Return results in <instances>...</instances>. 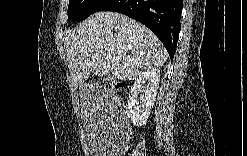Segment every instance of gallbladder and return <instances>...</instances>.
Masks as SVG:
<instances>
[{"instance_id": "bac80fb5", "label": "gallbladder", "mask_w": 247, "mask_h": 156, "mask_svg": "<svg viewBox=\"0 0 247 156\" xmlns=\"http://www.w3.org/2000/svg\"><path fill=\"white\" fill-rule=\"evenodd\" d=\"M111 78V75L110 74H107V79Z\"/></svg>"}]
</instances>
